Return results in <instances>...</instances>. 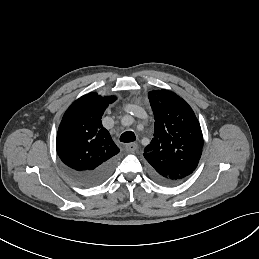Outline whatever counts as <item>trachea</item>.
I'll use <instances>...</instances> for the list:
<instances>
[{"instance_id":"trachea-1","label":"trachea","mask_w":259,"mask_h":259,"mask_svg":"<svg viewBox=\"0 0 259 259\" xmlns=\"http://www.w3.org/2000/svg\"><path fill=\"white\" fill-rule=\"evenodd\" d=\"M135 140H136V137L132 131H126L120 136V141L124 143L133 142Z\"/></svg>"}]
</instances>
